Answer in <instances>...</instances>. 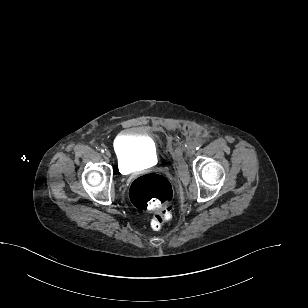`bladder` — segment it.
<instances>
[{"label": "bladder", "mask_w": 308, "mask_h": 308, "mask_svg": "<svg viewBox=\"0 0 308 308\" xmlns=\"http://www.w3.org/2000/svg\"><path fill=\"white\" fill-rule=\"evenodd\" d=\"M113 150L119 167L124 170L149 165L158 160L154 140L140 128L123 131L115 139Z\"/></svg>", "instance_id": "bladder-1"}]
</instances>
